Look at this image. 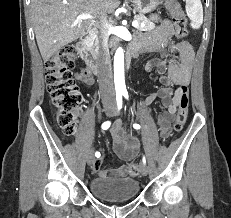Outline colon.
<instances>
[{"label":"colon","mask_w":231,"mask_h":218,"mask_svg":"<svg viewBox=\"0 0 231 218\" xmlns=\"http://www.w3.org/2000/svg\"><path fill=\"white\" fill-rule=\"evenodd\" d=\"M166 6L171 12L175 26V35L184 38L187 35V18L177 0H166ZM77 53L72 46L62 47L45 63L47 90L54 106V117L58 127L65 135L76 133L77 116L83 102L72 75V68L76 62ZM189 112V90L183 87L179 96V106L174 123V130L180 132L187 120ZM130 176L139 174V166L130 163L126 166Z\"/></svg>","instance_id":"1"}]
</instances>
